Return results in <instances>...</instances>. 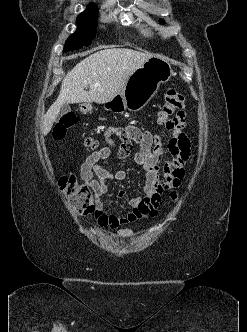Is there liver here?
Returning <instances> with one entry per match:
<instances>
[{"instance_id": "liver-1", "label": "liver", "mask_w": 247, "mask_h": 332, "mask_svg": "<svg viewBox=\"0 0 247 332\" xmlns=\"http://www.w3.org/2000/svg\"><path fill=\"white\" fill-rule=\"evenodd\" d=\"M152 54L127 48H108L91 54L79 62L64 77L59 96L44 116L41 131L47 135L60 107L65 103L95 102L103 104L125 87L132 73ZM98 83L99 86H94ZM89 85V91L84 90Z\"/></svg>"}]
</instances>
